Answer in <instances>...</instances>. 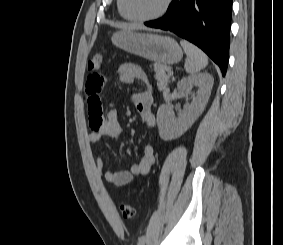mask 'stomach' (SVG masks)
<instances>
[{
  "label": "stomach",
  "instance_id": "1",
  "mask_svg": "<svg viewBox=\"0 0 283 245\" xmlns=\"http://www.w3.org/2000/svg\"><path fill=\"white\" fill-rule=\"evenodd\" d=\"M111 40L116 47L156 63L174 64L183 56L178 43L167 36L121 30L114 33Z\"/></svg>",
  "mask_w": 283,
  "mask_h": 245
}]
</instances>
